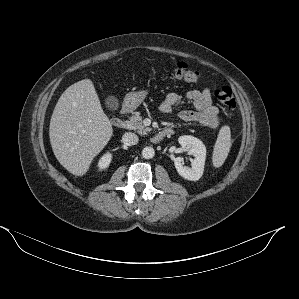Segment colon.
<instances>
[{
  "label": "colon",
  "instance_id": "1",
  "mask_svg": "<svg viewBox=\"0 0 299 299\" xmlns=\"http://www.w3.org/2000/svg\"><path fill=\"white\" fill-rule=\"evenodd\" d=\"M166 75L191 84L199 83L201 78V73L197 70L190 69L185 62L176 63L173 68L166 72ZM214 95L228 110H234L236 108L237 102L229 86L218 88Z\"/></svg>",
  "mask_w": 299,
  "mask_h": 299
}]
</instances>
